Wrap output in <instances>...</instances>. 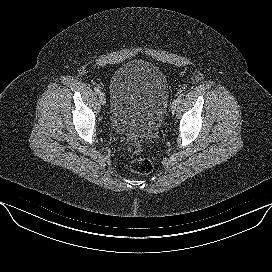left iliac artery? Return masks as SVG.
I'll list each match as a JSON object with an SVG mask.
<instances>
[{
	"label": "left iliac artery",
	"mask_w": 272,
	"mask_h": 272,
	"mask_svg": "<svg viewBox=\"0 0 272 272\" xmlns=\"http://www.w3.org/2000/svg\"><path fill=\"white\" fill-rule=\"evenodd\" d=\"M182 98H183V96H182V94H180V95L177 97L176 101H177L178 103H180V102L182 101Z\"/></svg>",
	"instance_id": "1"
}]
</instances>
